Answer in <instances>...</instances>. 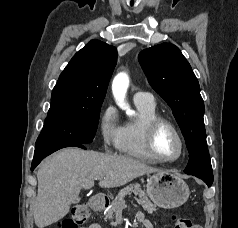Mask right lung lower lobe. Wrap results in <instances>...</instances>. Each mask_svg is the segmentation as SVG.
<instances>
[{
	"instance_id": "obj_1",
	"label": "right lung lower lobe",
	"mask_w": 238,
	"mask_h": 228,
	"mask_svg": "<svg viewBox=\"0 0 238 228\" xmlns=\"http://www.w3.org/2000/svg\"><path fill=\"white\" fill-rule=\"evenodd\" d=\"M79 147L86 149L82 143L77 142H64L58 144H48V145H36L35 152H34V159L32 161L31 170H34L36 166L44 159L46 156L50 155L51 153L65 148V147Z\"/></svg>"
}]
</instances>
